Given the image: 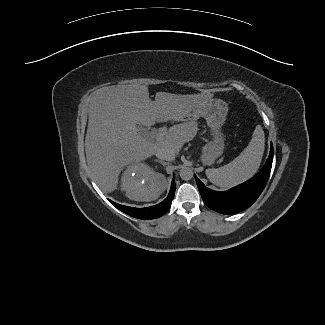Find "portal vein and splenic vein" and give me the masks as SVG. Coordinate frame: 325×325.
Instances as JSON below:
<instances>
[{
  "label": "portal vein and splenic vein",
  "mask_w": 325,
  "mask_h": 325,
  "mask_svg": "<svg viewBox=\"0 0 325 325\" xmlns=\"http://www.w3.org/2000/svg\"><path fill=\"white\" fill-rule=\"evenodd\" d=\"M164 137H165V133H163V132H158V133L156 134V139H157L158 141L163 140Z\"/></svg>",
  "instance_id": "obj_1"
}]
</instances>
